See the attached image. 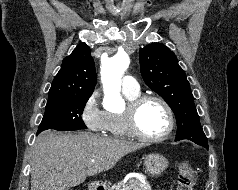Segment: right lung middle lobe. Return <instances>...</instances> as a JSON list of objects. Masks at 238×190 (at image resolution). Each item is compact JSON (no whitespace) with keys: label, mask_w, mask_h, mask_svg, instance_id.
<instances>
[{"label":"right lung middle lobe","mask_w":238,"mask_h":190,"mask_svg":"<svg viewBox=\"0 0 238 190\" xmlns=\"http://www.w3.org/2000/svg\"><path fill=\"white\" fill-rule=\"evenodd\" d=\"M90 95H71L48 99L38 132L46 129L70 131L86 129L81 114Z\"/></svg>","instance_id":"right-lung-middle-lobe-1"}]
</instances>
